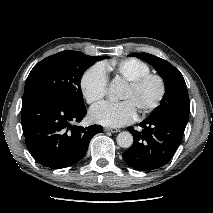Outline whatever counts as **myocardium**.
<instances>
[{"mask_svg":"<svg viewBox=\"0 0 213 213\" xmlns=\"http://www.w3.org/2000/svg\"><path fill=\"white\" fill-rule=\"evenodd\" d=\"M153 81L157 84L158 92L156 96L146 105H144L140 110L139 113L142 115L148 114L151 111H153L155 108H157L160 103L162 102L165 94H166V84L164 79L158 75L153 73H148L145 75H142L134 80L129 81L128 86L132 90H139L142 88L146 83Z\"/></svg>","mask_w":213,"mask_h":213,"instance_id":"f54148a6","label":"myocardium"}]
</instances>
